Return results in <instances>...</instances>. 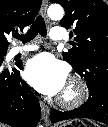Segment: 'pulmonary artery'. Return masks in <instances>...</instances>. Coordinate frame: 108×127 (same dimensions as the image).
<instances>
[{"mask_svg": "<svg viewBox=\"0 0 108 127\" xmlns=\"http://www.w3.org/2000/svg\"><path fill=\"white\" fill-rule=\"evenodd\" d=\"M50 37L53 40H62L65 38V33L62 28L56 27L53 28L50 32ZM39 47L37 45H27L24 47H15L11 50V55L24 54L31 51L37 50Z\"/></svg>", "mask_w": 108, "mask_h": 127, "instance_id": "obj_1", "label": "pulmonary artery"}]
</instances>
